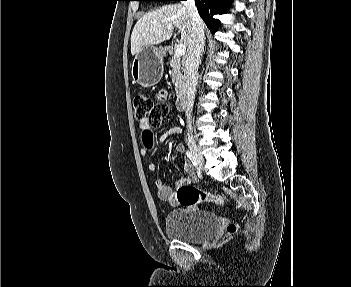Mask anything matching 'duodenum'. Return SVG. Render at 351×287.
Listing matches in <instances>:
<instances>
[{
	"mask_svg": "<svg viewBox=\"0 0 351 287\" xmlns=\"http://www.w3.org/2000/svg\"><path fill=\"white\" fill-rule=\"evenodd\" d=\"M176 107L179 111H184L187 108V94L181 91L176 99Z\"/></svg>",
	"mask_w": 351,
	"mask_h": 287,
	"instance_id": "410a0bca",
	"label": "duodenum"
}]
</instances>
